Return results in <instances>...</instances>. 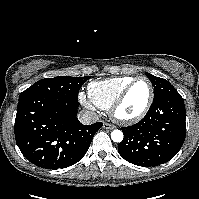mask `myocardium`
I'll use <instances>...</instances> for the list:
<instances>
[{
  "label": "myocardium",
  "mask_w": 199,
  "mask_h": 199,
  "mask_svg": "<svg viewBox=\"0 0 199 199\" xmlns=\"http://www.w3.org/2000/svg\"><path fill=\"white\" fill-rule=\"evenodd\" d=\"M141 80L146 81L149 84V87H150L149 98H148L144 108L142 109V111L140 113H138L137 115H134V116H122V115H120L119 110H120L121 106L123 105L129 91L138 81H141ZM154 95H155V89H154V85L150 81V79L147 78L146 76H138V77L134 78L125 87V89L120 93V95L116 98V100L114 101V103L110 107V110H109L110 115L116 122L121 123V124L136 123V122L142 120L146 116V114L148 113V111H149V109H150V107L153 103Z\"/></svg>",
  "instance_id": "1"
}]
</instances>
